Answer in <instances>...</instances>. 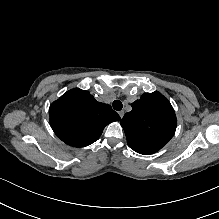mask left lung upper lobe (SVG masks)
Masks as SVG:
<instances>
[{
	"label": "left lung upper lobe",
	"mask_w": 219,
	"mask_h": 219,
	"mask_svg": "<svg viewBox=\"0 0 219 219\" xmlns=\"http://www.w3.org/2000/svg\"><path fill=\"white\" fill-rule=\"evenodd\" d=\"M121 120L127 143L134 151L149 155L173 137L177 119L170 102L159 92L143 94L131 104Z\"/></svg>",
	"instance_id": "obj_1"
}]
</instances>
